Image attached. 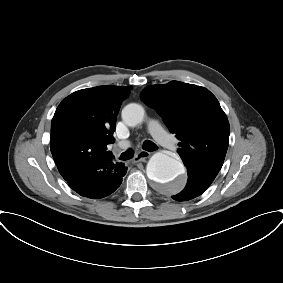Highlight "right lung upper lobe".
Returning <instances> with one entry per match:
<instances>
[{
	"label": "right lung upper lobe",
	"mask_w": 283,
	"mask_h": 283,
	"mask_svg": "<svg viewBox=\"0 0 283 283\" xmlns=\"http://www.w3.org/2000/svg\"><path fill=\"white\" fill-rule=\"evenodd\" d=\"M130 87L98 86L76 91L56 109L51 123V153L64 179L94 162L112 158L107 145L122 100Z\"/></svg>",
	"instance_id": "cb5924a9"
}]
</instances>
